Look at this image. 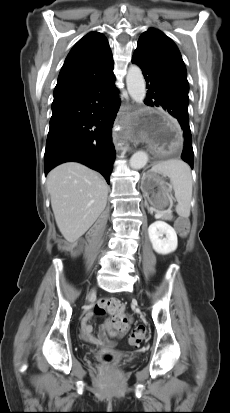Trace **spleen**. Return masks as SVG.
Instances as JSON below:
<instances>
[{
    "label": "spleen",
    "instance_id": "spleen-1",
    "mask_svg": "<svg viewBox=\"0 0 230 413\" xmlns=\"http://www.w3.org/2000/svg\"><path fill=\"white\" fill-rule=\"evenodd\" d=\"M150 171L170 178L177 201L175 210L180 217L188 218L190 216L193 185L189 166L180 159H170L159 162Z\"/></svg>",
    "mask_w": 230,
    "mask_h": 413
}]
</instances>
